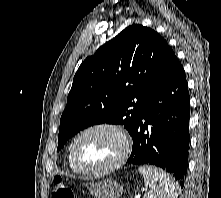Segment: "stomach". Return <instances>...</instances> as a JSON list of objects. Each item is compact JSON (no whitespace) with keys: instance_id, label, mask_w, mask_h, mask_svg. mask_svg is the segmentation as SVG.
<instances>
[{"instance_id":"1","label":"stomach","mask_w":221,"mask_h":198,"mask_svg":"<svg viewBox=\"0 0 221 198\" xmlns=\"http://www.w3.org/2000/svg\"><path fill=\"white\" fill-rule=\"evenodd\" d=\"M89 190L96 198H120L125 191L121 184L111 179L93 183Z\"/></svg>"}]
</instances>
